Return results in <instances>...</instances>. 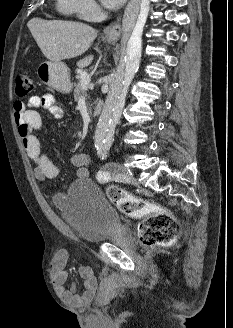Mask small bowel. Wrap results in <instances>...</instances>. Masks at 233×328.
Masks as SVG:
<instances>
[{
    "label": "small bowel",
    "mask_w": 233,
    "mask_h": 328,
    "mask_svg": "<svg viewBox=\"0 0 233 328\" xmlns=\"http://www.w3.org/2000/svg\"><path fill=\"white\" fill-rule=\"evenodd\" d=\"M40 108L46 110L54 119L62 117L63 111L51 94L32 96L27 103L16 101L13 105V115L25 151L35 164L34 176L37 180L45 182L58 176L59 167L42 151L39 139L35 135L42 127V119L38 112ZM71 162L76 168L78 179L88 177L89 157L86 154H74ZM67 263L68 253L65 250L57 251L51 260L50 272L57 294L63 301L71 304L81 305L90 302L97 290V280L92 268L88 265L79 266L78 271L84 282L83 292L78 293L76 285H72L70 289L65 286L68 279Z\"/></svg>",
    "instance_id": "obj_1"
}]
</instances>
